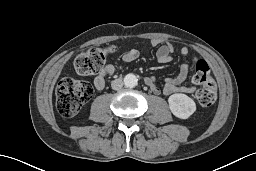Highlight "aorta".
<instances>
[{
  "label": "aorta",
  "mask_w": 256,
  "mask_h": 171,
  "mask_svg": "<svg viewBox=\"0 0 256 171\" xmlns=\"http://www.w3.org/2000/svg\"><path fill=\"white\" fill-rule=\"evenodd\" d=\"M138 79L136 75L129 73L124 77V84L129 88H133L137 85Z\"/></svg>",
  "instance_id": "obj_1"
}]
</instances>
